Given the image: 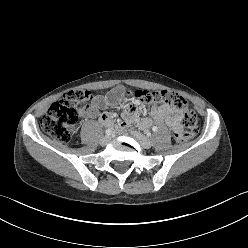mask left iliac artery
I'll list each match as a JSON object with an SVG mask.
<instances>
[{"instance_id":"1","label":"left iliac artery","mask_w":248,"mask_h":248,"mask_svg":"<svg viewBox=\"0 0 248 248\" xmlns=\"http://www.w3.org/2000/svg\"><path fill=\"white\" fill-rule=\"evenodd\" d=\"M152 131H153V132H157V131H158V128H157L156 126H153V127H152Z\"/></svg>"}]
</instances>
